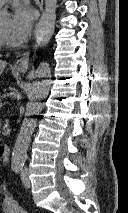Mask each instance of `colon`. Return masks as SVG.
I'll use <instances>...</instances> for the list:
<instances>
[{
  "instance_id": "obj_1",
  "label": "colon",
  "mask_w": 128,
  "mask_h": 213,
  "mask_svg": "<svg viewBox=\"0 0 128 213\" xmlns=\"http://www.w3.org/2000/svg\"><path fill=\"white\" fill-rule=\"evenodd\" d=\"M1 191L5 197L10 213H28L13 199V197L7 191L6 187L3 186Z\"/></svg>"
}]
</instances>
